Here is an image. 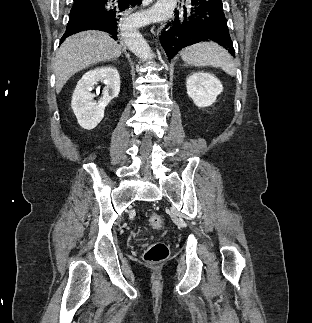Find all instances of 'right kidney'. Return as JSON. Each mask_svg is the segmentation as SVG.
<instances>
[{
  "label": "right kidney",
  "instance_id": "right-kidney-1",
  "mask_svg": "<svg viewBox=\"0 0 312 323\" xmlns=\"http://www.w3.org/2000/svg\"><path fill=\"white\" fill-rule=\"evenodd\" d=\"M106 84L102 92V100L93 102L95 94L91 90L96 84ZM120 92V76L113 66H101L90 70L79 80L72 96V110L78 120L79 126L84 130H93L98 126L104 116V110L113 98Z\"/></svg>",
  "mask_w": 312,
  "mask_h": 323
}]
</instances>
